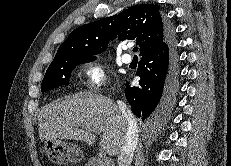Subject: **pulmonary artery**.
Wrapping results in <instances>:
<instances>
[{"label":"pulmonary artery","mask_w":231,"mask_h":166,"mask_svg":"<svg viewBox=\"0 0 231 166\" xmlns=\"http://www.w3.org/2000/svg\"><path fill=\"white\" fill-rule=\"evenodd\" d=\"M122 61L125 63V64H130L131 61H132V57L130 56V54H124L122 56Z\"/></svg>","instance_id":"1"}]
</instances>
